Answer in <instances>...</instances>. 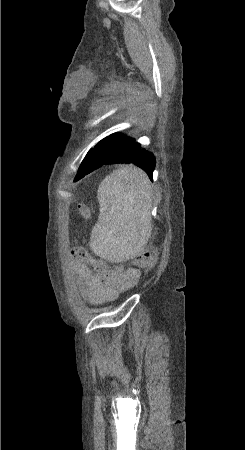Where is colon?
<instances>
[{
  "label": "colon",
  "instance_id": "5ec220e1",
  "mask_svg": "<svg viewBox=\"0 0 245 450\" xmlns=\"http://www.w3.org/2000/svg\"><path fill=\"white\" fill-rule=\"evenodd\" d=\"M79 211L85 218H89L91 216L90 208L84 204L79 205ZM73 255L78 261L90 264L97 272H103L107 269V265L103 260L93 258L89 254V252L82 246L75 247L73 249ZM155 255V247L144 248L134 256L132 262L136 267L140 269H150L154 266Z\"/></svg>",
  "mask_w": 245,
  "mask_h": 450
}]
</instances>
